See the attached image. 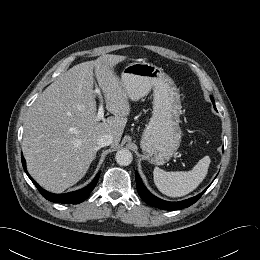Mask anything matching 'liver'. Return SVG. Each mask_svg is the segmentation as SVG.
Wrapping results in <instances>:
<instances>
[{
    "label": "liver",
    "mask_w": 260,
    "mask_h": 260,
    "mask_svg": "<svg viewBox=\"0 0 260 260\" xmlns=\"http://www.w3.org/2000/svg\"><path fill=\"white\" fill-rule=\"evenodd\" d=\"M125 56L106 54L77 64L50 84L29 108L22 141L30 175L46 190L61 193L81 180L99 149L102 134L121 140L131 107L114 67ZM113 116L97 119L94 73Z\"/></svg>",
    "instance_id": "obj_1"
}]
</instances>
